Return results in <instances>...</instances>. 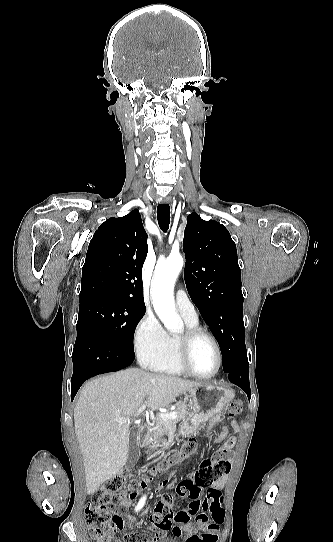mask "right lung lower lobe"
Wrapping results in <instances>:
<instances>
[{
  "label": "right lung lower lobe",
  "instance_id": "1",
  "mask_svg": "<svg viewBox=\"0 0 333 542\" xmlns=\"http://www.w3.org/2000/svg\"><path fill=\"white\" fill-rule=\"evenodd\" d=\"M135 355L123 351L101 331L83 327L77 331L72 354L73 375L71 378V399L80 386L98 374L115 372L129 366Z\"/></svg>",
  "mask_w": 333,
  "mask_h": 542
}]
</instances>
